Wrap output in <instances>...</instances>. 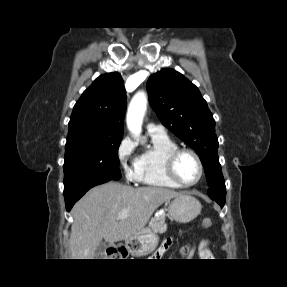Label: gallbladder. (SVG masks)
Here are the masks:
<instances>
[{
	"label": "gallbladder",
	"instance_id": "gallbladder-1",
	"mask_svg": "<svg viewBox=\"0 0 287 287\" xmlns=\"http://www.w3.org/2000/svg\"><path fill=\"white\" fill-rule=\"evenodd\" d=\"M105 251H106V243L101 241L95 250V259H104Z\"/></svg>",
	"mask_w": 287,
	"mask_h": 287
}]
</instances>
